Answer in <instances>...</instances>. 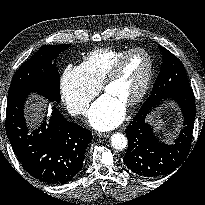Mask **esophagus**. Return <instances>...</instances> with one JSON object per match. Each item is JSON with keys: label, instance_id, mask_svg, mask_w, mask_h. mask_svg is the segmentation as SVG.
I'll use <instances>...</instances> for the list:
<instances>
[{"label": "esophagus", "instance_id": "34e87169", "mask_svg": "<svg viewBox=\"0 0 205 205\" xmlns=\"http://www.w3.org/2000/svg\"><path fill=\"white\" fill-rule=\"evenodd\" d=\"M98 136L101 138H107L110 136V133H99Z\"/></svg>", "mask_w": 205, "mask_h": 205}]
</instances>
